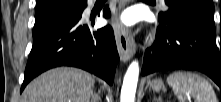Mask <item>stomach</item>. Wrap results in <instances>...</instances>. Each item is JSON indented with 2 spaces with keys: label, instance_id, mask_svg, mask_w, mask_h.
I'll list each match as a JSON object with an SVG mask.
<instances>
[{
  "label": "stomach",
  "instance_id": "0dacf381",
  "mask_svg": "<svg viewBox=\"0 0 221 102\" xmlns=\"http://www.w3.org/2000/svg\"><path fill=\"white\" fill-rule=\"evenodd\" d=\"M147 86L150 87L153 91L159 92L165 89L164 83L161 79L149 80Z\"/></svg>",
  "mask_w": 221,
  "mask_h": 102
}]
</instances>
